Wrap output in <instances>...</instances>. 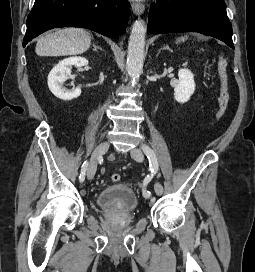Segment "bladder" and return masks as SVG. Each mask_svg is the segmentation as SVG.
<instances>
[{
  "label": "bladder",
  "instance_id": "obj_1",
  "mask_svg": "<svg viewBox=\"0 0 255 272\" xmlns=\"http://www.w3.org/2000/svg\"><path fill=\"white\" fill-rule=\"evenodd\" d=\"M97 206L119 212H132L138 206L136 193L126 184H112L95 196Z\"/></svg>",
  "mask_w": 255,
  "mask_h": 272
}]
</instances>
